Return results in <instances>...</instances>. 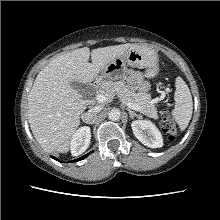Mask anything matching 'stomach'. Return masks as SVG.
<instances>
[{
    "label": "stomach",
    "mask_w": 220,
    "mask_h": 220,
    "mask_svg": "<svg viewBox=\"0 0 220 220\" xmlns=\"http://www.w3.org/2000/svg\"><path fill=\"white\" fill-rule=\"evenodd\" d=\"M128 67L146 68L145 76L153 78L158 73V54L149 47L135 45L125 53L112 60L100 70V76L96 77L97 82L102 79L117 80L124 78Z\"/></svg>",
    "instance_id": "0dacf381"
}]
</instances>
